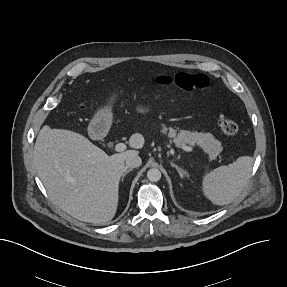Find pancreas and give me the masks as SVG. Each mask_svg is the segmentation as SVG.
Returning <instances> with one entry per match:
<instances>
[{
  "mask_svg": "<svg viewBox=\"0 0 287 287\" xmlns=\"http://www.w3.org/2000/svg\"><path fill=\"white\" fill-rule=\"evenodd\" d=\"M162 131L165 133L167 128L163 126ZM169 136L174 138L173 140L178 146L181 144L199 145L204 153L209 155L210 160L215 159L217 155L222 151L221 142L216 140L211 133H202L196 131L190 132L182 130L177 134L176 130L170 128Z\"/></svg>",
  "mask_w": 287,
  "mask_h": 287,
  "instance_id": "pancreas-1",
  "label": "pancreas"
}]
</instances>
